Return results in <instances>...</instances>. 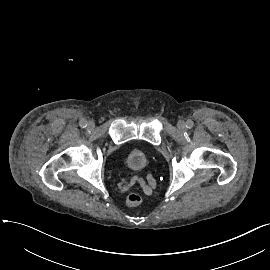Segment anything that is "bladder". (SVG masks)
Masks as SVG:
<instances>
[{
    "instance_id": "obj_1",
    "label": "bladder",
    "mask_w": 270,
    "mask_h": 270,
    "mask_svg": "<svg viewBox=\"0 0 270 270\" xmlns=\"http://www.w3.org/2000/svg\"><path fill=\"white\" fill-rule=\"evenodd\" d=\"M151 157V152L141 150L136 146L131 147L130 153L127 155V165L130 169L138 171L144 168L147 160Z\"/></svg>"
}]
</instances>
